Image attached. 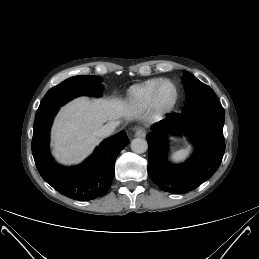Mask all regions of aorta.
<instances>
[{
  "mask_svg": "<svg viewBox=\"0 0 259 259\" xmlns=\"http://www.w3.org/2000/svg\"><path fill=\"white\" fill-rule=\"evenodd\" d=\"M147 148V141L143 138H135L131 141V149L137 154H142L146 152Z\"/></svg>",
  "mask_w": 259,
  "mask_h": 259,
  "instance_id": "1",
  "label": "aorta"
}]
</instances>
